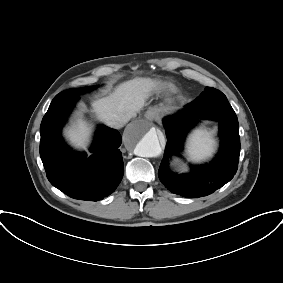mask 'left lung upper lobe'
<instances>
[{
  "mask_svg": "<svg viewBox=\"0 0 283 283\" xmlns=\"http://www.w3.org/2000/svg\"><path fill=\"white\" fill-rule=\"evenodd\" d=\"M204 93L207 94L212 99H215V100H217V99H222V100L227 99L226 96L221 91H219L215 88L206 87ZM236 122L238 123L237 118H236Z\"/></svg>",
  "mask_w": 283,
  "mask_h": 283,
  "instance_id": "left-lung-upper-lobe-1",
  "label": "left lung upper lobe"
}]
</instances>
